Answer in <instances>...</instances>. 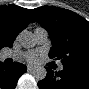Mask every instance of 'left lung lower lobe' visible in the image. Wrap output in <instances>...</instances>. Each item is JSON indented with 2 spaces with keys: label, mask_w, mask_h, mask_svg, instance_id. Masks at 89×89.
Listing matches in <instances>:
<instances>
[{
  "label": "left lung lower lobe",
  "mask_w": 89,
  "mask_h": 89,
  "mask_svg": "<svg viewBox=\"0 0 89 89\" xmlns=\"http://www.w3.org/2000/svg\"><path fill=\"white\" fill-rule=\"evenodd\" d=\"M46 69V77L38 82L40 89H89V69L63 68L58 72Z\"/></svg>",
  "instance_id": "1"
}]
</instances>
